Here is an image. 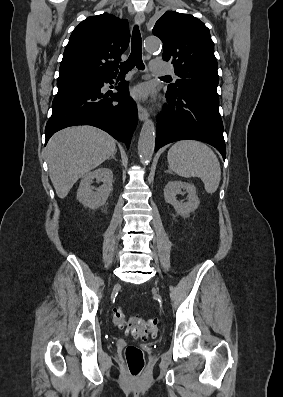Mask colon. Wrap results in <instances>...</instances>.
<instances>
[{
    "label": "colon",
    "instance_id": "5ec220e1",
    "mask_svg": "<svg viewBox=\"0 0 283 397\" xmlns=\"http://www.w3.org/2000/svg\"><path fill=\"white\" fill-rule=\"evenodd\" d=\"M112 321L115 326L120 329L125 327L127 334L139 339L154 338L159 330L156 319H143L139 316L127 317L121 307L113 309ZM125 359L129 374L133 377L141 376L145 367L143 351L135 345H129L125 349Z\"/></svg>",
    "mask_w": 283,
    "mask_h": 397
}]
</instances>
